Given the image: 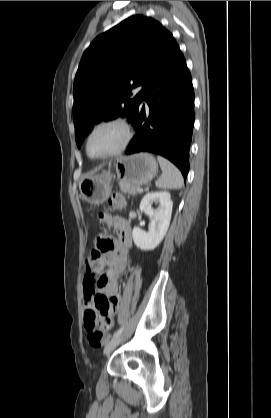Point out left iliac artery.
I'll use <instances>...</instances> for the list:
<instances>
[{
    "label": "left iliac artery",
    "instance_id": "left-iliac-artery-1",
    "mask_svg": "<svg viewBox=\"0 0 271 418\" xmlns=\"http://www.w3.org/2000/svg\"><path fill=\"white\" fill-rule=\"evenodd\" d=\"M123 330H124V326H122L120 329H118L114 334H113V337L112 338H116V337H118L119 335H121L122 334V332H123Z\"/></svg>",
    "mask_w": 271,
    "mask_h": 418
}]
</instances>
